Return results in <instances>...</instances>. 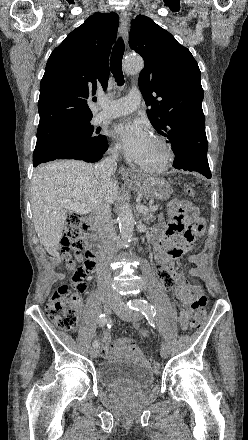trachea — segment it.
Returning a JSON list of instances; mask_svg holds the SVG:
<instances>
[{"label": "trachea", "mask_w": 248, "mask_h": 440, "mask_svg": "<svg viewBox=\"0 0 248 440\" xmlns=\"http://www.w3.org/2000/svg\"><path fill=\"white\" fill-rule=\"evenodd\" d=\"M123 54H124V42L121 38H119L115 46L113 47L110 58L111 72L118 86H122L124 84V75L122 71Z\"/></svg>", "instance_id": "1"}]
</instances>
